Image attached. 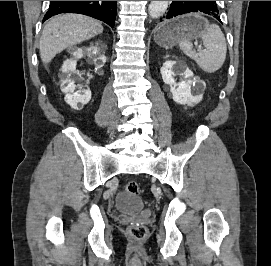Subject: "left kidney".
<instances>
[{"instance_id": "5707ae66", "label": "left kidney", "mask_w": 271, "mask_h": 266, "mask_svg": "<svg viewBox=\"0 0 271 266\" xmlns=\"http://www.w3.org/2000/svg\"><path fill=\"white\" fill-rule=\"evenodd\" d=\"M161 75L165 84L170 86L172 99L180 105H191L198 102V97L191 93L193 72L186 66L178 64L176 61H166L161 67ZM176 75H181L184 80L177 83L174 79Z\"/></svg>"}]
</instances>
